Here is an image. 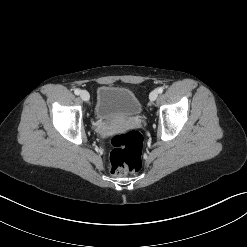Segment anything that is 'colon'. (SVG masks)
<instances>
[{"instance_id":"obj_1","label":"colon","mask_w":247,"mask_h":247,"mask_svg":"<svg viewBox=\"0 0 247 247\" xmlns=\"http://www.w3.org/2000/svg\"><path fill=\"white\" fill-rule=\"evenodd\" d=\"M109 169L113 175L134 174L142 166L143 136L134 130L110 137Z\"/></svg>"}]
</instances>
